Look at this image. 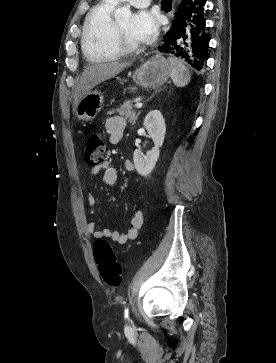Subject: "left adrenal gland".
<instances>
[{
    "label": "left adrenal gland",
    "mask_w": 276,
    "mask_h": 363,
    "mask_svg": "<svg viewBox=\"0 0 276 363\" xmlns=\"http://www.w3.org/2000/svg\"><path fill=\"white\" fill-rule=\"evenodd\" d=\"M139 114H140V112L137 114V117H138ZM137 117H136V119H137Z\"/></svg>",
    "instance_id": "obj_1"
}]
</instances>
